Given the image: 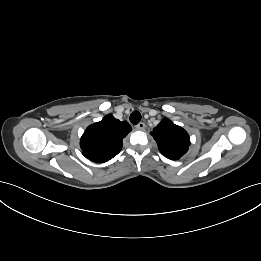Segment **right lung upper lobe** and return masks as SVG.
Here are the masks:
<instances>
[{"label":"right lung upper lobe","instance_id":"right-lung-upper-lobe-1","mask_svg":"<svg viewBox=\"0 0 261 261\" xmlns=\"http://www.w3.org/2000/svg\"><path fill=\"white\" fill-rule=\"evenodd\" d=\"M131 130L128 122H121L108 114L85 130L80 140L83 155L97 163L109 161L120 152L123 138Z\"/></svg>","mask_w":261,"mask_h":261}]
</instances>
